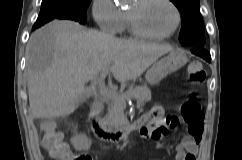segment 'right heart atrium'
I'll return each instance as SVG.
<instances>
[{
  "label": "right heart atrium",
  "instance_id": "right-heart-atrium-1",
  "mask_svg": "<svg viewBox=\"0 0 242 160\" xmlns=\"http://www.w3.org/2000/svg\"><path fill=\"white\" fill-rule=\"evenodd\" d=\"M92 16L98 27L110 35L122 29L123 12L113 0H92Z\"/></svg>",
  "mask_w": 242,
  "mask_h": 160
}]
</instances>
